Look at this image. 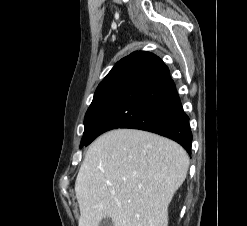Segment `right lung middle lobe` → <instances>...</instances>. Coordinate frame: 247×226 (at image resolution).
I'll return each instance as SVG.
<instances>
[{"label": "right lung middle lobe", "mask_w": 247, "mask_h": 226, "mask_svg": "<svg viewBox=\"0 0 247 226\" xmlns=\"http://www.w3.org/2000/svg\"><path fill=\"white\" fill-rule=\"evenodd\" d=\"M122 68L123 66L113 67L108 75L98 85L93 101L85 115V130L81 140V147L84 146L91 138L93 128L97 123L100 114L118 81Z\"/></svg>", "instance_id": "obj_1"}]
</instances>
